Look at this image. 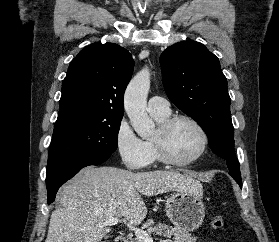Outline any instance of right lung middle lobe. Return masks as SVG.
Masks as SVG:
<instances>
[{
	"mask_svg": "<svg viewBox=\"0 0 279 242\" xmlns=\"http://www.w3.org/2000/svg\"><path fill=\"white\" fill-rule=\"evenodd\" d=\"M122 117L86 110L59 114L50 144L46 174L82 156H111L117 149Z\"/></svg>",
	"mask_w": 279,
	"mask_h": 242,
	"instance_id": "right-lung-middle-lobe-1",
	"label": "right lung middle lobe"
}]
</instances>
